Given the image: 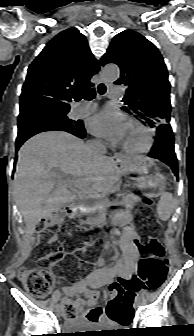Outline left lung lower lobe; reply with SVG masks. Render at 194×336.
<instances>
[{
  "mask_svg": "<svg viewBox=\"0 0 194 336\" xmlns=\"http://www.w3.org/2000/svg\"><path fill=\"white\" fill-rule=\"evenodd\" d=\"M156 142L149 153V156L166 163L171 167L175 176L178 177L177 158L174 151V138L169 123L156 127Z\"/></svg>",
  "mask_w": 194,
  "mask_h": 336,
  "instance_id": "1",
  "label": "left lung lower lobe"
}]
</instances>
